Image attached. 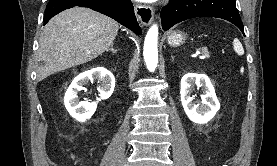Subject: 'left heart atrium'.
<instances>
[{
  "label": "left heart atrium",
  "mask_w": 277,
  "mask_h": 166,
  "mask_svg": "<svg viewBox=\"0 0 277 166\" xmlns=\"http://www.w3.org/2000/svg\"><path fill=\"white\" fill-rule=\"evenodd\" d=\"M138 1H143V2H153L155 0H138Z\"/></svg>",
  "instance_id": "left-heart-atrium-1"
}]
</instances>
